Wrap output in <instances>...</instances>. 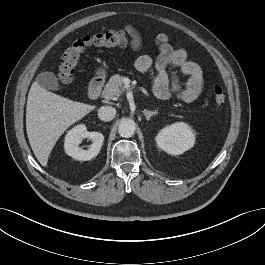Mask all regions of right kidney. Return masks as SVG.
<instances>
[{"instance_id": "obj_1", "label": "right kidney", "mask_w": 265, "mask_h": 265, "mask_svg": "<svg viewBox=\"0 0 265 265\" xmlns=\"http://www.w3.org/2000/svg\"><path fill=\"white\" fill-rule=\"evenodd\" d=\"M88 138L92 144L84 150L79 146L81 141ZM104 136L99 132H89L85 125H77L72 128L66 135L64 141L65 153L75 160L87 161L96 157L101 149Z\"/></svg>"}]
</instances>
